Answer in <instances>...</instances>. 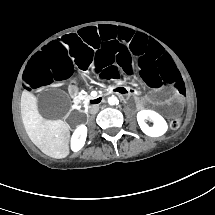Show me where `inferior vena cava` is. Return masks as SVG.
I'll return each mask as SVG.
<instances>
[{
	"instance_id": "obj_1",
	"label": "inferior vena cava",
	"mask_w": 215,
	"mask_h": 215,
	"mask_svg": "<svg viewBox=\"0 0 215 215\" xmlns=\"http://www.w3.org/2000/svg\"><path fill=\"white\" fill-rule=\"evenodd\" d=\"M98 111H99V106L96 104L90 106V108H89L90 114H96Z\"/></svg>"
}]
</instances>
